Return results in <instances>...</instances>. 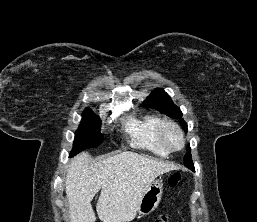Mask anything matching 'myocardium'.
I'll list each match as a JSON object with an SVG mask.
<instances>
[{
  "instance_id": "1",
  "label": "myocardium",
  "mask_w": 257,
  "mask_h": 222,
  "mask_svg": "<svg viewBox=\"0 0 257 222\" xmlns=\"http://www.w3.org/2000/svg\"><path fill=\"white\" fill-rule=\"evenodd\" d=\"M167 128H172L174 129L180 139H181V145L180 147L178 148H172L168 142L166 141V138H165V130ZM157 134H158V139L159 141L161 142V144L163 145V147L168 151V152H177V151H180L184 148L185 146V136H184V133L181 129V127L173 120H170V119H163L160 121L159 125H158V130H157Z\"/></svg>"
}]
</instances>
